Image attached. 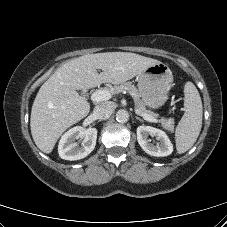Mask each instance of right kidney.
<instances>
[{
	"label": "right kidney",
	"instance_id": "right-kidney-1",
	"mask_svg": "<svg viewBox=\"0 0 227 227\" xmlns=\"http://www.w3.org/2000/svg\"><path fill=\"white\" fill-rule=\"evenodd\" d=\"M78 138H84L81 146L75 142ZM97 139L96 128H83L76 126L68 130L60 139L58 153L65 160H79L88 156L95 148Z\"/></svg>",
	"mask_w": 227,
	"mask_h": 227
}]
</instances>
